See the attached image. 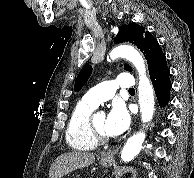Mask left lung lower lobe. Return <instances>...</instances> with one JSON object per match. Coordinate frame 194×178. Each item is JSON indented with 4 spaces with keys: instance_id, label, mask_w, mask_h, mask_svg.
I'll list each match as a JSON object with an SVG mask.
<instances>
[{
    "instance_id": "0a47b994",
    "label": "left lung lower lobe",
    "mask_w": 194,
    "mask_h": 178,
    "mask_svg": "<svg viewBox=\"0 0 194 178\" xmlns=\"http://www.w3.org/2000/svg\"><path fill=\"white\" fill-rule=\"evenodd\" d=\"M152 84L155 89L160 106H165L169 101L171 82L170 71L167 67L166 58L163 56L149 71Z\"/></svg>"
}]
</instances>
